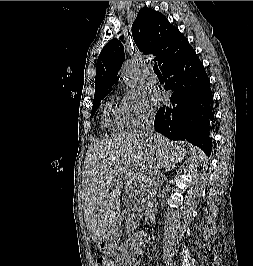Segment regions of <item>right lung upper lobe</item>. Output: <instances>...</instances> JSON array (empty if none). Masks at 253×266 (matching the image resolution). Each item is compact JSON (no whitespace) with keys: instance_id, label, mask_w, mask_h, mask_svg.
<instances>
[{"instance_id":"cb5924a9","label":"right lung upper lobe","mask_w":253,"mask_h":266,"mask_svg":"<svg viewBox=\"0 0 253 266\" xmlns=\"http://www.w3.org/2000/svg\"><path fill=\"white\" fill-rule=\"evenodd\" d=\"M132 37L144 54L155 55L160 69L183 57L192 47L188 40L158 11L142 8L132 25ZM125 60L124 47L117 39L102 49L96 64L94 99L107 94L117 82L118 70Z\"/></svg>"}]
</instances>
